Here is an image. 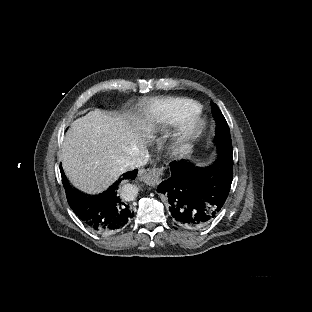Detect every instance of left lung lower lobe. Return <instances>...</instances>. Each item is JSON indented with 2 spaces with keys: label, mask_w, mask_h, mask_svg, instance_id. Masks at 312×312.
<instances>
[{
  "label": "left lung lower lobe",
  "mask_w": 312,
  "mask_h": 312,
  "mask_svg": "<svg viewBox=\"0 0 312 312\" xmlns=\"http://www.w3.org/2000/svg\"><path fill=\"white\" fill-rule=\"evenodd\" d=\"M216 154L205 167L184 160L170 163L171 177L157 190L168 198L169 218L176 226L201 229L225 203L233 179L232 151L216 150Z\"/></svg>",
  "instance_id": "0a47b994"
}]
</instances>
